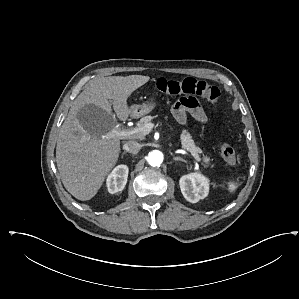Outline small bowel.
<instances>
[{"label":"small bowel","mask_w":299,"mask_h":299,"mask_svg":"<svg viewBox=\"0 0 299 299\" xmlns=\"http://www.w3.org/2000/svg\"><path fill=\"white\" fill-rule=\"evenodd\" d=\"M173 117L180 124H184L187 120V113L200 123L207 121V115L198 101L193 97H183L176 101L171 109Z\"/></svg>","instance_id":"1"}]
</instances>
